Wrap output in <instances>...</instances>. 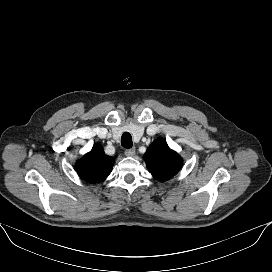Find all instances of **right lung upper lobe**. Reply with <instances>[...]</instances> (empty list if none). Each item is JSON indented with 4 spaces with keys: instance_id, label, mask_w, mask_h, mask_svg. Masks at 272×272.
<instances>
[{
    "instance_id": "cb5924a9",
    "label": "right lung upper lobe",
    "mask_w": 272,
    "mask_h": 272,
    "mask_svg": "<svg viewBox=\"0 0 272 272\" xmlns=\"http://www.w3.org/2000/svg\"><path fill=\"white\" fill-rule=\"evenodd\" d=\"M113 164L114 159L107 156L100 145H96L76 162L75 168L83 180L98 183L111 173Z\"/></svg>"
}]
</instances>
